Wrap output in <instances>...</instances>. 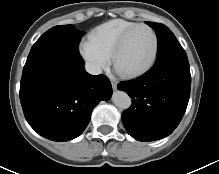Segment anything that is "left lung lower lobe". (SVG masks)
<instances>
[{
    "label": "left lung lower lobe",
    "instance_id": "left-lung-lower-lobe-1",
    "mask_svg": "<svg viewBox=\"0 0 219 174\" xmlns=\"http://www.w3.org/2000/svg\"><path fill=\"white\" fill-rule=\"evenodd\" d=\"M190 87L187 56L164 58L142 77L118 84L133 99L131 108L122 113L129 135L139 141L170 135L185 113Z\"/></svg>",
    "mask_w": 219,
    "mask_h": 174
}]
</instances>
